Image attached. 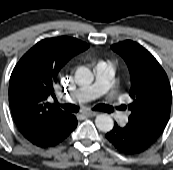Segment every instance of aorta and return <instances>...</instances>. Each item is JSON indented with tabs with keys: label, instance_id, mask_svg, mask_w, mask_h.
<instances>
[{
	"label": "aorta",
	"instance_id": "1",
	"mask_svg": "<svg viewBox=\"0 0 173 170\" xmlns=\"http://www.w3.org/2000/svg\"><path fill=\"white\" fill-rule=\"evenodd\" d=\"M76 78L81 84H91L94 80V76L90 69L86 67H80L76 71ZM96 127L102 132H109L113 129L114 121L108 114H100L95 119Z\"/></svg>",
	"mask_w": 173,
	"mask_h": 170
}]
</instances>
